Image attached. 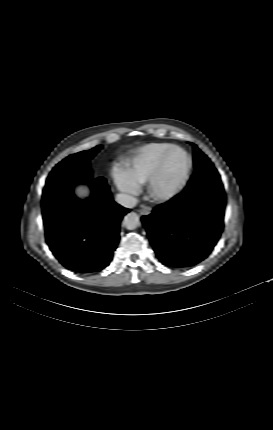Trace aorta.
Wrapping results in <instances>:
<instances>
[{"label":"aorta","instance_id":"obj_1","mask_svg":"<svg viewBox=\"0 0 273 430\" xmlns=\"http://www.w3.org/2000/svg\"><path fill=\"white\" fill-rule=\"evenodd\" d=\"M123 224L128 230L136 229L140 225L139 215L135 212L128 213L124 217Z\"/></svg>","mask_w":273,"mask_h":430}]
</instances>
